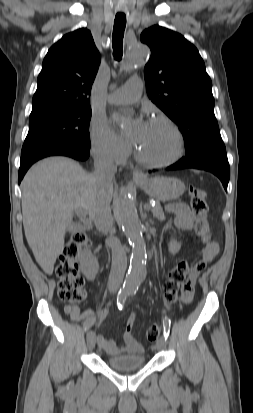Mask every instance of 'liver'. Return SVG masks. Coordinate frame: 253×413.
Returning <instances> with one entry per match:
<instances>
[{
  "label": "liver",
  "instance_id": "6515ba94",
  "mask_svg": "<svg viewBox=\"0 0 253 413\" xmlns=\"http://www.w3.org/2000/svg\"><path fill=\"white\" fill-rule=\"evenodd\" d=\"M23 226L27 242L43 271L51 275L64 248L73 212L86 211L91 220L102 197L92 174L66 157H50L33 165L22 183ZM113 184L105 196L110 203Z\"/></svg>",
  "mask_w": 253,
  "mask_h": 413
}]
</instances>
